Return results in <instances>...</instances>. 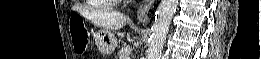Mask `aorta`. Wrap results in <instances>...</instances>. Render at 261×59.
<instances>
[{
    "instance_id": "obj_1",
    "label": "aorta",
    "mask_w": 261,
    "mask_h": 59,
    "mask_svg": "<svg viewBox=\"0 0 261 59\" xmlns=\"http://www.w3.org/2000/svg\"><path fill=\"white\" fill-rule=\"evenodd\" d=\"M178 0H161L152 25L147 59H160L169 27L176 12Z\"/></svg>"
}]
</instances>
